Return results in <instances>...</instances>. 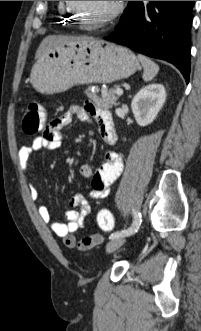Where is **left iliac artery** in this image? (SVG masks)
<instances>
[{"label":"left iliac artery","mask_w":201,"mask_h":331,"mask_svg":"<svg viewBox=\"0 0 201 331\" xmlns=\"http://www.w3.org/2000/svg\"><path fill=\"white\" fill-rule=\"evenodd\" d=\"M133 216H134L133 223L127 230L116 231L113 234H111L109 238L114 239L118 237H125L137 232L142 222L141 214L139 211L133 209Z\"/></svg>","instance_id":"obj_1"}]
</instances>
